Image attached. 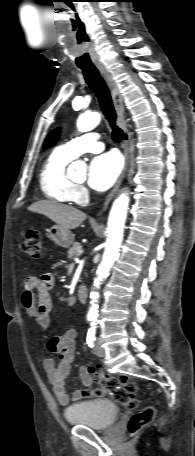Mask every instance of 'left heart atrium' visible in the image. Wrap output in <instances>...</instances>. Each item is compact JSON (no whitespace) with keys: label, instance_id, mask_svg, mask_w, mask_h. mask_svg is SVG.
Listing matches in <instances>:
<instances>
[{"label":"left heart atrium","instance_id":"39dd6f15","mask_svg":"<svg viewBox=\"0 0 195 456\" xmlns=\"http://www.w3.org/2000/svg\"><path fill=\"white\" fill-rule=\"evenodd\" d=\"M121 169V158L115 152L95 156L89 164L88 184L95 190H107L116 181Z\"/></svg>","mask_w":195,"mask_h":456}]
</instances>
